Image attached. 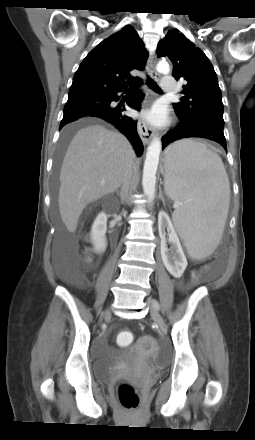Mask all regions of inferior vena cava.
Wrapping results in <instances>:
<instances>
[{
  "instance_id": "obj_1",
  "label": "inferior vena cava",
  "mask_w": 255,
  "mask_h": 440,
  "mask_svg": "<svg viewBox=\"0 0 255 440\" xmlns=\"http://www.w3.org/2000/svg\"><path fill=\"white\" fill-rule=\"evenodd\" d=\"M131 175H132V163H129L121 187V193L124 198L128 195Z\"/></svg>"
}]
</instances>
